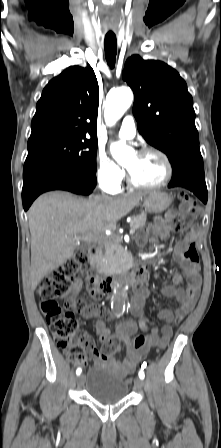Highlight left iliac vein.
<instances>
[{"instance_id":"4c4485c4","label":"left iliac vein","mask_w":221,"mask_h":448,"mask_svg":"<svg viewBox=\"0 0 221 448\" xmlns=\"http://www.w3.org/2000/svg\"><path fill=\"white\" fill-rule=\"evenodd\" d=\"M144 385V382L141 378H135L134 380V386L136 389H141Z\"/></svg>"}]
</instances>
